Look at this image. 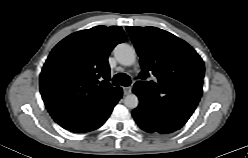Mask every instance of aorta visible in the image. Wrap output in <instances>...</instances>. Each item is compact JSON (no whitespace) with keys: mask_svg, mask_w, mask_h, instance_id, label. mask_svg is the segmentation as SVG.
I'll list each match as a JSON object with an SVG mask.
<instances>
[{"mask_svg":"<svg viewBox=\"0 0 248 158\" xmlns=\"http://www.w3.org/2000/svg\"><path fill=\"white\" fill-rule=\"evenodd\" d=\"M113 52L116 60L124 66H131L136 60L135 49L127 43L118 44ZM138 104L139 100L135 94H129L124 98V105L129 109H135Z\"/></svg>","mask_w":248,"mask_h":158,"instance_id":"aorta-1","label":"aorta"}]
</instances>
